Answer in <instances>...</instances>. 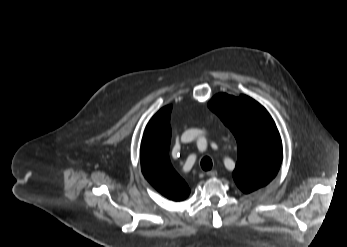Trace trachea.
Wrapping results in <instances>:
<instances>
[{"label": "trachea", "mask_w": 347, "mask_h": 247, "mask_svg": "<svg viewBox=\"0 0 347 247\" xmlns=\"http://www.w3.org/2000/svg\"><path fill=\"white\" fill-rule=\"evenodd\" d=\"M201 167L205 171L211 170V168H212V160L210 159V157H204L201 160Z\"/></svg>", "instance_id": "obj_1"}]
</instances>
